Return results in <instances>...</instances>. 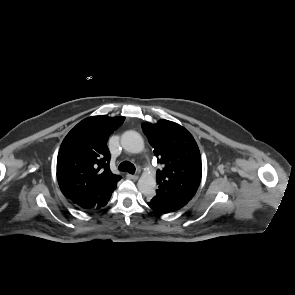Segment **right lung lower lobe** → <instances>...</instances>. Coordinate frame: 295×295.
Masks as SVG:
<instances>
[{
    "instance_id": "obj_1",
    "label": "right lung lower lobe",
    "mask_w": 295,
    "mask_h": 295,
    "mask_svg": "<svg viewBox=\"0 0 295 295\" xmlns=\"http://www.w3.org/2000/svg\"><path fill=\"white\" fill-rule=\"evenodd\" d=\"M119 181V180H118ZM114 182L106 189H104L99 195L84 201L74 202L78 207L85 210H97L103 208L108 203L113 191L116 189L117 182Z\"/></svg>"
}]
</instances>
